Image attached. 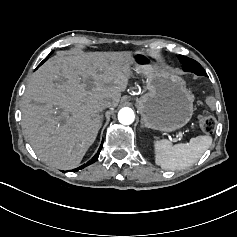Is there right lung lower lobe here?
I'll return each instance as SVG.
<instances>
[{
	"label": "right lung lower lobe",
	"instance_id": "1",
	"mask_svg": "<svg viewBox=\"0 0 237 237\" xmlns=\"http://www.w3.org/2000/svg\"><path fill=\"white\" fill-rule=\"evenodd\" d=\"M47 59H48V58H47ZM102 145H103V143L101 144V146H100L98 152H97V153L95 154V156L91 159V161H88L86 164H83V165L80 166L79 168L73 169L72 172L78 171L79 169H83V168L87 167L88 165L94 163V162L97 160L98 156H99V153H100V151H101V149H102Z\"/></svg>",
	"mask_w": 237,
	"mask_h": 237
}]
</instances>
